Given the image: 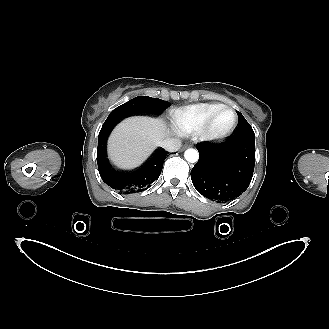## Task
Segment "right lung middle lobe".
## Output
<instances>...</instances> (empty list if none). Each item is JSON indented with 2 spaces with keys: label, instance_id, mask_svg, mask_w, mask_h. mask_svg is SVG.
Instances as JSON below:
<instances>
[{
  "label": "right lung middle lobe",
  "instance_id": "obj_1",
  "mask_svg": "<svg viewBox=\"0 0 329 329\" xmlns=\"http://www.w3.org/2000/svg\"><path fill=\"white\" fill-rule=\"evenodd\" d=\"M170 106L169 102L158 98L148 96H138L132 100L115 108L107 117V120L119 121L123 117L135 113H150L161 114L167 107Z\"/></svg>",
  "mask_w": 329,
  "mask_h": 329
}]
</instances>
